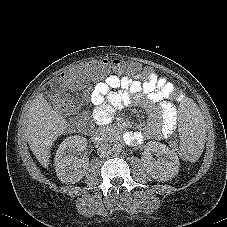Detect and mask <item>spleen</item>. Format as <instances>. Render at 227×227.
I'll list each match as a JSON object with an SVG mask.
<instances>
[{
  "label": "spleen",
  "mask_w": 227,
  "mask_h": 227,
  "mask_svg": "<svg viewBox=\"0 0 227 227\" xmlns=\"http://www.w3.org/2000/svg\"><path fill=\"white\" fill-rule=\"evenodd\" d=\"M176 127L181 155L195 160L202 153L204 140L203 122L197 104L191 99L182 100L177 106Z\"/></svg>",
  "instance_id": "spleen-1"
}]
</instances>
